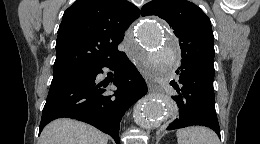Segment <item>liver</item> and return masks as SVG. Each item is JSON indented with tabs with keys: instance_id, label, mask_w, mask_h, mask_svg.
Returning <instances> with one entry per match:
<instances>
[{
	"instance_id": "obj_1",
	"label": "liver",
	"mask_w": 260,
	"mask_h": 144,
	"mask_svg": "<svg viewBox=\"0 0 260 144\" xmlns=\"http://www.w3.org/2000/svg\"><path fill=\"white\" fill-rule=\"evenodd\" d=\"M108 136L98 129L76 120L61 118L42 131L39 144H107Z\"/></svg>"
}]
</instances>
